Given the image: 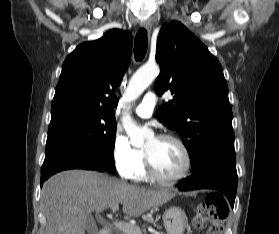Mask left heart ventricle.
Here are the masks:
<instances>
[{
	"instance_id": "1",
	"label": "left heart ventricle",
	"mask_w": 279,
	"mask_h": 234,
	"mask_svg": "<svg viewBox=\"0 0 279 234\" xmlns=\"http://www.w3.org/2000/svg\"><path fill=\"white\" fill-rule=\"evenodd\" d=\"M144 150L150 154L157 172L165 178L178 176L185 166L181 149L172 141L152 138Z\"/></svg>"
}]
</instances>
